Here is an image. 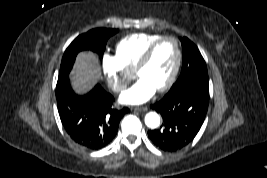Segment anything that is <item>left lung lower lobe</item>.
<instances>
[{"label":"left lung lower lobe","instance_id":"0a47b994","mask_svg":"<svg viewBox=\"0 0 267 178\" xmlns=\"http://www.w3.org/2000/svg\"><path fill=\"white\" fill-rule=\"evenodd\" d=\"M209 105V86L187 83L170 90L162 100L151 105L163 118L158 129L148 132L160 149L177 151L188 145L199 132Z\"/></svg>","mask_w":267,"mask_h":178}]
</instances>
